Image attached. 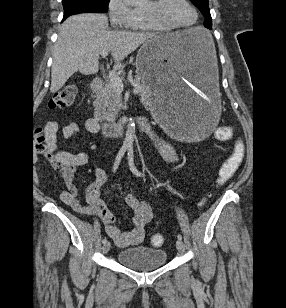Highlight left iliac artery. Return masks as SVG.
I'll list each match as a JSON object with an SVG mask.
<instances>
[{"instance_id":"1","label":"left iliac artery","mask_w":286,"mask_h":308,"mask_svg":"<svg viewBox=\"0 0 286 308\" xmlns=\"http://www.w3.org/2000/svg\"><path fill=\"white\" fill-rule=\"evenodd\" d=\"M128 163H129V167L130 170L132 171V173L138 177H144V174H142L135 166L134 164V155H133V148L129 147L128 149ZM177 238L179 240H182V235L178 234Z\"/></svg>"}]
</instances>
